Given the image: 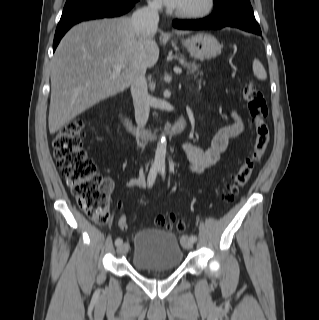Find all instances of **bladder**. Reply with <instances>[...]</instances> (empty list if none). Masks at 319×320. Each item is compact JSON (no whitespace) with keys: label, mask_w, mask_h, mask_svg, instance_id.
Returning a JSON list of instances; mask_svg holds the SVG:
<instances>
[{"label":"bladder","mask_w":319,"mask_h":320,"mask_svg":"<svg viewBox=\"0 0 319 320\" xmlns=\"http://www.w3.org/2000/svg\"><path fill=\"white\" fill-rule=\"evenodd\" d=\"M133 243L131 265L136 271L175 270L182 265L183 248L173 233L144 229L134 235Z\"/></svg>","instance_id":"bladder-1"}]
</instances>
